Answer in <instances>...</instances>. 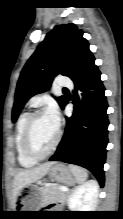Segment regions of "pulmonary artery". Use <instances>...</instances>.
Listing matches in <instances>:
<instances>
[{"instance_id":"pulmonary-artery-1","label":"pulmonary artery","mask_w":123,"mask_h":219,"mask_svg":"<svg viewBox=\"0 0 123 219\" xmlns=\"http://www.w3.org/2000/svg\"><path fill=\"white\" fill-rule=\"evenodd\" d=\"M57 84H58V86L64 87V88H72L73 87V82L67 77H59L57 79Z\"/></svg>"}]
</instances>
